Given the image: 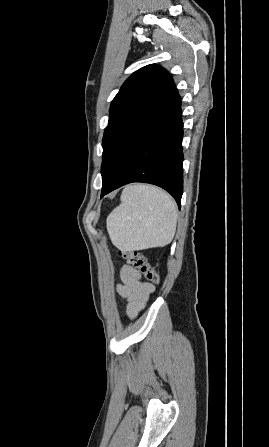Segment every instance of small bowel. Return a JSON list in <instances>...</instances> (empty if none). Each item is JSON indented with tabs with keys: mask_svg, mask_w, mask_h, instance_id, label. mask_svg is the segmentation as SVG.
<instances>
[{
	"mask_svg": "<svg viewBox=\"0 0 269 447\" xmlns=\"http://www.w3.org/2000/svg\"><path fill=\"white\" fill-rule=\"evenodd\" d=\"M120 280L117 291L127 300V314L133 318L146 306L155 287L144 281L140 272L128 264L121 267Z\"/></svg>",
	"mask_w": 269,
	"mask_h": 447,
	"instance_id": "c3829d8e",
	"label": "small bowel"
}]
</instances>
